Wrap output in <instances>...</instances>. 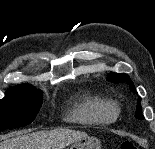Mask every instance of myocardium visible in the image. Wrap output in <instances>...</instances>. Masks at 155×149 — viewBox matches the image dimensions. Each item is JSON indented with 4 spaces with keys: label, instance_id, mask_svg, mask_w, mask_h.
Wrapping results in <instances>:
<instances>
[{
    "label": "myocardium",
    "instance_id": "obj_1",
    "mask_svg": "<svg viewBox=\"0 0 155 149\" xmlns=\"http://www.w3.org/2000/svg\"><path fill=\"white\" fill-rule=\"evenodd\" d=\"M107 105L109 110L117 116L120 111V104L115 100H109L107 101Z\"/></svg>",
    "mask_w": 155,
    "mask_h": 149
}]
</instances>
